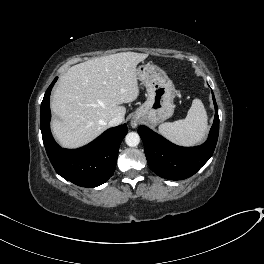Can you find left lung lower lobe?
Returning <instances> with one entry per match:
<instances>
[{
	"mask_svg": "<svg viewBox=\"0 0 264 264\" xmlns=\"http://www.w3.org/2000/svg\"><path fill=\"white\" fill-rule=\"evenodd\" d=\"M215 118L207 141L196 147H180L172 144L146 126L138 133L143 141L145 155L152 171L169 180H182L195 174L212 156L219 133V116L216 100Z\"/></svg>",
	"mask_w": 264,
	"mask_h": 264,
	"instance_id": "0a47b994",
	"label": "left lung lower lobe"
}]
</instances>
